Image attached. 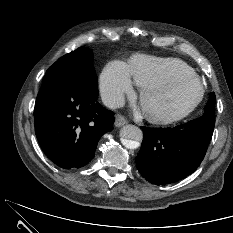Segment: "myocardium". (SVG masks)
Returning <instances> with one entry per match:
<instances>
[{"mask_svg": "<svg viewBox=\"0 0 233 233\" xmlns=\"http://www.w3.org/2000/svg\"><path fill=\"white\" fill-rule=\"evenodd\" d=\"M188 79L197 81L201 87L199 97L188 109L176 115H168V114H164V113L152 110L148 107L147 97L151 92L173 85L183 80H188ZM205 95H206V86L197 74L195 73L181 74V75L166 78V79L153 82V83L143 86L140 90L139 101H140L141 109L145 117L149 121H151L152 123L158 124V125H173V124L182 122L185 119H187L189 116H191L197 110V108L201 105V103L203 102L205 98Z\"/></svg>", "mask_w": 233, "mask_h": 233, "instance_id": "myocardium-1", "label": "myocardium"}]
</instances>
